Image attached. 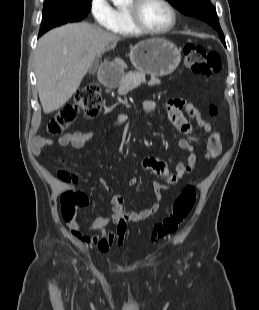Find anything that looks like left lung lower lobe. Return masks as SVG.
Segmentation results:
<instances>
[{
    "instance_id": "left-lung-lower-lobe-1",
    "label": "left lung lower lobe",
    "mask_w": 259,
    "mask_h": 310,
    "mask_svg": "<svg viewBox=\"0 0 259 310\" xmlns=\"http://www.w3.org/2000/svg\"><path fill=\"white\" fill-rule=\"evenodd\" d=\"M220 39H221V41L223 42V44L226 45V44H225V39H223V38H220Z\"/></svg>"
}]
</instances>
